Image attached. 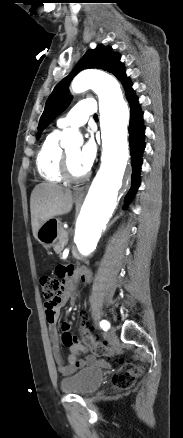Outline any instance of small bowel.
Wrapping results in <instances>:
<instances>
[{
  "label": "small bowel",
  "instance_id": "1",
  "mask_svg": "<svg viewBox=\"0 0 183 438\" xmlns=\"http://www.w3.org/2000/svg\"><path fill=\"white\" fill-rule=\"evenodd\" d=\"M56 273L59 277L63 278L64 281L58 294L52 300H47L45 302L44 309L45 317L51 331L54 360L58 365L59 372L68 376L75 373L78 369L95 362V357L92 355H88L85 358H78L79 354L88 353V348L77 340V338L70 332L69 324L65 322L62 324V342L65 346L71 349L72 354L68 359V364H64L57 333V322L60 316V310L73 296V287L69 279L78 278L82 282H88L91 275L86 268L73 265L59 266Z\"/></svg>",
  "mask_w": 183,
  "mask_h": 438
}]
</instances>
